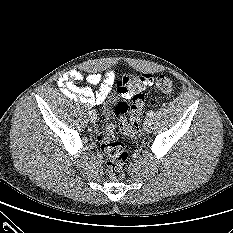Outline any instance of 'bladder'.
Returning <instances> with one entry per match:
<instances>
[{
  "label": "bladder",
  "mask_w": 233,
  "mask_h": 233,
  "mask_svg": "<svg viewBox=\"0 0 233 233\" xmlns=\"http://www.w3.org/2000/svg\"><path fill=\"white\" fill-rule=\"evenodd\" d=\"M114 108L104 114L101 120L100 131L105 137L116 139L117 126L114 122Z\"/></svg>",
  "instance_id": "obj_1"
}]
</instances>
